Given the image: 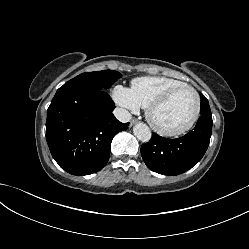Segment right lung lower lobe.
I'll return each instance as SVG.
<instances>
[{
    "mask_svg": "<svg viewBox=\"0 0 249 249\" xmlns=\"http://www.w3.org/2000/svg\"><path fill=\"white\" fill-rule=\"evenodd\" d=\"M115 104L97 86L68 81L47 110L46 140L52 157L66 172L88 175L108 162L113 137L128 128L112 111Z\"/></svg>",
    "mask_w": 249,
    "mask_h": 249,
    "instance_id": "right-lung-lower-lobe-1",
    "label": "right lung lower lobe"
}]
</instances>
